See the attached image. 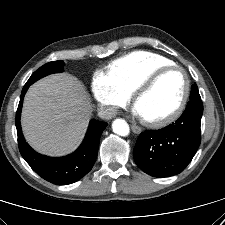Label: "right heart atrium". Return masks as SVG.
I'll return each instance as SVG.
<instances>
[{
    "mask_svg": "<svg viewBox=\"0 0 225 225\" xmlns=\"http://www.w3.org/2000/svg\"><path fill=\"white\" fill-rule=\"evenodd\" d=\"M91 88L97 102L111 115L130 100V95L122 91L111 77L102 71L93 75Z\"/></svg>",
    "mask_w": 225,
    "mask_h": 225,
    "instance_id": "right-heart-atrium-1",
    "label": "right heart atrium"
}]
</instances>
